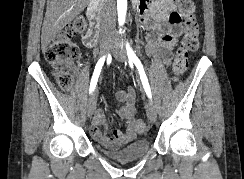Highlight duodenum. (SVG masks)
<instances>
[{
  "label": "duodenum",
  "mask_w": 244,
  "mask_h": 179,
  "mask_svg": "<svg viewBox=\"0 0 244 179\" xmlns=\"http://www.w3.org/2000/svg\"><path fill=\"white\" fill-rule=\"evenodd\" d=\"M99 13V5L98 2L96 0H91L89 2V6L86 10V15L88 17V19L92 22V28H91V32L89 34L90 40L93 43V46L95 45V43L97 42V32H96V25L93 24V21L97 18Z\"/></svg>",
  "instance_id": "1"
}]
</instances>
